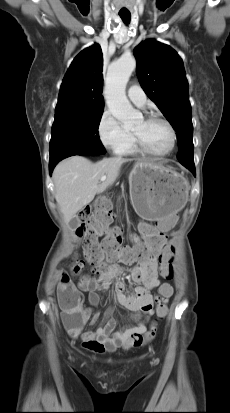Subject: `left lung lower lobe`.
Segmentation results:
<instances>
[{"instance_id":"left-lung-lower-lobe-1","label":"left lung lower lobe","mask_w":230,"mask_h":413,"mask_svg":"<svg viewBox=\"0 0 230 413\" xmlns=\"http://www.w3.org/2000/svg\"><path fill=\"white\" fill-rule=\"evenodd\" d=\"M182 165L185 166L187 169H189L193 173L194 176L196 175L194 163H184Z\"/></svg>"}]
</instances>
